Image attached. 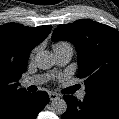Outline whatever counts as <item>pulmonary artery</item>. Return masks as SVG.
Instances as JSON below:
<instances>
[{
  "label": "pulmonary artery",
  "mask_w": 119,
  "mask_h": 119,
  "mask_svg": "<svg viewBox=\"0 0 119 119\" xmlns=\"http://www.w3.org/2000/svg\"><path fill=\"white\" fill-rule=\"evenodd\" d=\"M56 62L58 65H65L67 64L72 56H73V49L71 46H66L60 49L54 50ZM46 77L42 75L32 76L24 79L22 81V85L24 87L32 86V85H40L46 81ZM86 92L84 90L80 91L78 94L79 99H83Z\"/></svg>",
  "instance_id": "1"
}]
</instances>
